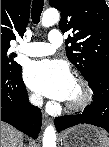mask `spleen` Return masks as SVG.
<instances>
[{
    "instance_id": "obj_1",
    "label": "spleen",
    "mask_w": 109,
    "mask_h": 147,
    "mask_svg": "<svg viewBox=\"0 0 109 147\" xmlns=\"http://www.w3.org/2000/svg\"><path fill=\"white\" fill-rule=\"evenodd\" d=\"M104 137L107 139V143H106L105 147H108L109 146V138H108V134L106 132L104 133Z\"/></svg>"
}]
</instances>
